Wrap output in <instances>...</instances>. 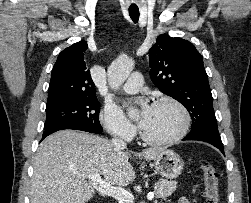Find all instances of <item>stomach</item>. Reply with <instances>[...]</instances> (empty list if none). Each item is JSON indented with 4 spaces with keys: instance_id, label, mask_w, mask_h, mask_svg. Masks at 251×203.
I'll use <instances>...</instances> for the list:
<instances>
[{
    "instance_id": "1",
    "label": "stomach",
    "mask_w": 251,
    "mask_h": 203,
    "mask_svg": "<svg viewBox=\"0 0 251 203\" xmlns=\"http://www.w3.org/2000/svg\"><path fill=\"white\" fill-rule=\"evenodd\" d=\"M151 165L162 177L173 179L181 174L184 162L173 150L164 149L153 159Z\"/></svg>"
}]
</instances>
